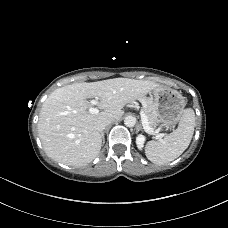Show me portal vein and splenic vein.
Listing matches in <instances>:
<instances>
[{"mask_svg":"<svg viewBox=\"0 0 228 228\" xmlns=\"http://www.w3.org/2000/svg\"><path fill=\"white\" fill-rule=\"evenodd\" d=\"M96 103H97V98L90 101L91 105H95ZM89 112L92 114H97L99 112V110L97 108L91 107V108H89ZM140 115H141L142 125H143V128L145 129V131L148 133L153 132L152 128L149 126V122H148L147 116L144 113V111L141 110ZM162 136L163 135L160 134V135H158V138H161Z\"/></svg>","mask_w":228,"mask_h":228,"instance_id":"1","label":"portal vein and splenic vein"}]
</instances>
